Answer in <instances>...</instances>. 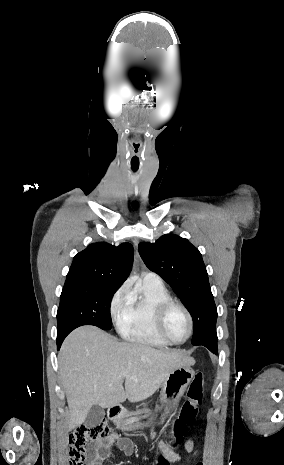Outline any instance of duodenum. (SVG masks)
Returning <instances> with one entry per match:
<instances>
[{"instance_id": "obj_1", "label": "duodenum", "mask_w": 284, "mask_h": 465, "mask_svg": "<svg viewBox=\"0 0 284 465\" xmlns=\"http://www.w3.org/2000/svg\"><path fill=\"white\" fill-rule=\"evenodd\" d=\"M124 415V411L120 406H112L108 410V416L113 419L117 424L120 423L121 417Z\"/></svg>"}]
</instances>
